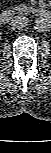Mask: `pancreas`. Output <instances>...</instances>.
<instances>
[{
	"instance_id": "1",
	"label": "pancreas",
	"mask_w": 51,
	"mask_h": 153,
	"mask_svg": "<svg viewBox=\"0 0 51 153\" xmlns=\"http://www.w3.org/2000/svg\"><path fill=\"white\" fill-rule=\"evenodd\" d=\"M32 8L28 7L27 5L21 4V5H16L13 7V10L16 11L17 13H24V12H29Z\"/></svg>"
}]
</instances>
